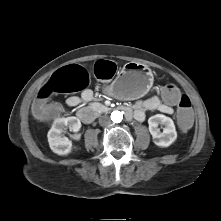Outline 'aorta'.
Returning a JSON list of instances; mask_svg holds the SVG:
<instances>
[{"label": "aorta", "mask_w": 221, "mask_h": 221, "mask_svg": "<svg viewBox=\"0 0 221 221\" xmlns=\"http://www.w3.org/2000/svg\"><path fill=\"white\" fill-rule=\"evenodd\" d=\"M123 119V113L120 112V111H113L111 113V120L114 122V123H120Z\"/></svg>", "instance_id": "obj_1"}]
</instances>
